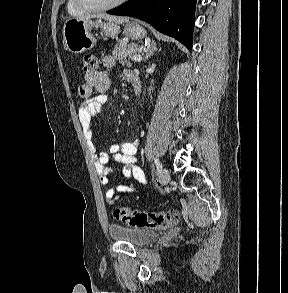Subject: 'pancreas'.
Masks as SVG:
<instances>
[{"instance_id":"cf45deb5","label":"pancreas","mask_w":288,"mask_h":293,"mask_svg":"<svg viewBox=\"0 0 288 293\" xmlns=\"http://www.w3.org/2000/svg\"><path fill=\"white\" fill-rule=\"evenodd\" d=\"M140 54V49L135 44L127 45V41L119 40L114 47L112 55L124 66H131V60Z\"/></svg>"}]
</instances>
